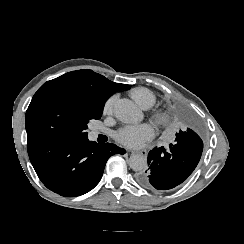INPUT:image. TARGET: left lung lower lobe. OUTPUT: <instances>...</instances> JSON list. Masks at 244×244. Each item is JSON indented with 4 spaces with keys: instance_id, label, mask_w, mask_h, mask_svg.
<instances>
[{
    "instance_id": "obj_1",
    "label": "left lung lower lobe",
    "mask_w": 244,
    "mask_h": 244,
    "mask_svg": "<svg viewBox=\"0 0 244 244\" xmlns=\"http://www.w3.org/2000/svg\"><path fill=\"white\" fill-rule=\"evenodd\" d=\"M182 127L169 148L156 147L148 154V169L138 182L145 188L168 190L184 182L196 168L203 151L200 127L189 115L181 116Z\"/></svg>"
}]
</instances>
